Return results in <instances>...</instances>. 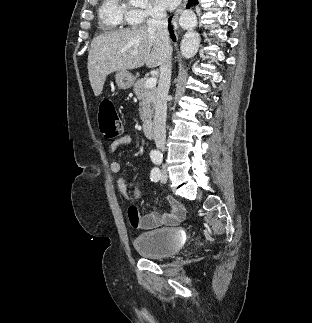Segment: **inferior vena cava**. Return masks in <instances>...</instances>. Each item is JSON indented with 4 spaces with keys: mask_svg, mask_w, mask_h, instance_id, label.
<instances>
[{
    "mask_svg": "<svg viewBox=\"0 0 312 323\" xmlns=\"http://www.w3.org/2000/svg\"><path fill=\"white\" fill-rule=\"evenodd\" d=\"M148 26L157 30L159 44L161 48L160 78L158 82L155 114L153 120L154 142L160 150H166V116H167V96L170 88L172 70V48L168 32V20L165 10L156 8Z\"/></svg>",
    "mask_w": 312,
    "mask_h": 323,
    "instance_id": "1",
    "label": "inferior vena cava"
}]
</instances>
